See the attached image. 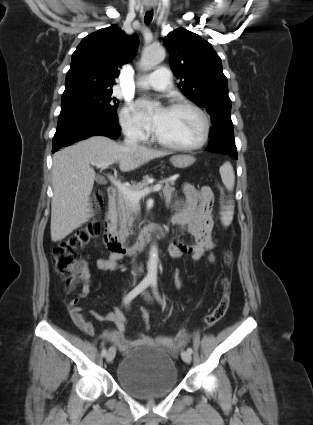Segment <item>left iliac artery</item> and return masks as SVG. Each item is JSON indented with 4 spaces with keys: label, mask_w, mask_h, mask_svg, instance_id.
<instances>
[{
    "label": "left iliac artery",
    "mask_w": 313,
    "mask_h": 425,
    "mask_svg": "<svg viewBox=\"0 0 313 425\" xmlns=\"http://www.w3.org/2000/svg\"><path fill=\"white\" fill-rule=\"evenodd\" d=\"M151 285H152L153 292H154V295L156 296L157 300L162 303V300H161V298L158 294V291H157V281L155 279L151 280ZM163 305H165L164 302H163ZM187 352H189L191 354L193 352L192 348H188Z\"/></svg>",
    "instance_id": "44dca946"
}]
</instances>
